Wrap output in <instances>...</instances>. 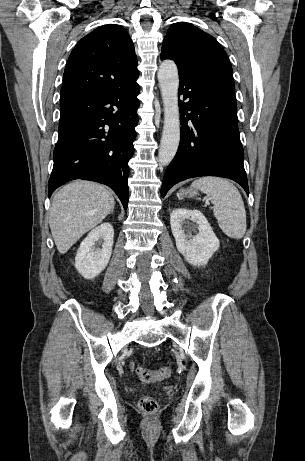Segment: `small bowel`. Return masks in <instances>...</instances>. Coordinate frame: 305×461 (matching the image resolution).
<instances>
[{"mask_svg": "<svg viewBox=\"0 0 305 461\" xmlns=\"http://www.w3.org/2000/svg\"><path fill=\"white\" fill-rule=\"evenodd\" d=\"M129 366H130V369L133 370V368H134V363L131 362Z\"/></svg>", "mask_w": 305, "mask_h": 461, "instance_id": "c3829d8e", "label": "small bowel"}]
</instances>
